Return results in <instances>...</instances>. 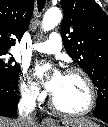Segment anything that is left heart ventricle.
Masks as SVG:
<instances>
[{
    "label": "left heart ventricle",
    "instance_id": "obj_1",
    "mask_svg": "<svg viewBox=\"0 0 108 127\" xmlns=\"http://www.w3.org/2000/svg\"><path fill=\"white\" fill-rule=\"evenodd\" d=\"M53 96L57 104L68 111L84 109L89 98L87 87L77 74H64Z\"/></svg>",
    "mask_w": 108,
    "mask_h": 127
}]
</instances>
